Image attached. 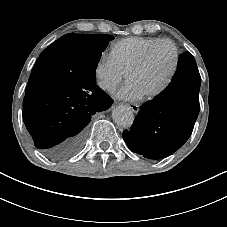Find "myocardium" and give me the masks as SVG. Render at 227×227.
I'll return each mask as SVG.
<instances>
[{
	"label": "myocardium",
	"mask_w": 227,
	"mask_h": 227,
	"mask_svg": "<svg viewBox=\"0 0 227 227\" xmlns=\"http://www.w3.org/2000/svg\"><path fill=\"white\" fill-rule=\"evenodd\" d=\"M161 43H166L171 46L173 53H174V58H173L172 66H171L169 73H168L166 79L164 80V82L153 92L146 95V98L149 100L154 99V98L158 97L159 95H161L171 84V82L177 72V69L179 66V61H180V51H179L177 44L171 39H159V40L155 41L153 44H151L149 47H147V49L144 51L142 56L130 68V70L128 71L127 76H126V79H128V77L130 75L140 71L146 65L153 49Z\"/></svg>",
	"instance_id": "f54148a6"
}]
</instances>
